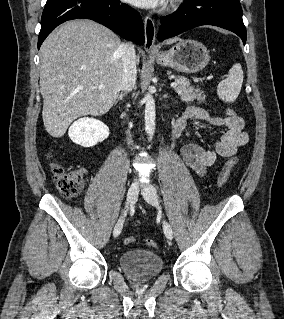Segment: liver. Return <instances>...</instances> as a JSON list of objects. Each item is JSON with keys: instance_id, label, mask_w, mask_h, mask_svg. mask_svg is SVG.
I'll use <instances>...</instances> for the list:
<instances>
[{"instance_id": "6515ba94", "label": "liver", "mask_w": 284, "mask_h": 319, "mask_svg": "<svg viewBox=\"0 0 284 319\" xmlns=\"http://www.w3.org/2000/svg\"><path fill=\"white\" fill-rule=\"evenodd\" d=\"M121 46L111 30L84 19L66 22L46 38L40 49V91L42 118L51 136L62 137L78 117L110 110L122 89Z\"/></svg>"}]
</instances>
